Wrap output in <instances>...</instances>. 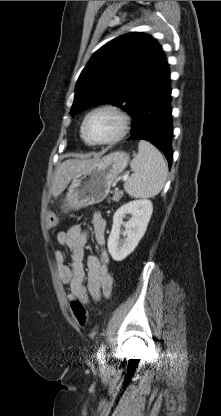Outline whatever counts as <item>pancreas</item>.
<instances>
[{"label": "pancreas", "instance_id": "obj_1", "mask_svg": "<svg viewBox=\"0 0 221 416\" xmlns=\"http://www.w3.org/2000/svg\"><path fill=\"white\" fill-rule=\"evenodd\" d=\"M122 196H123V192H121V191H117V192H115V194L113 195V197H112V201H114V202H119V201H120V199L122 198ZM108 202L110 203V198L108 199Z\"/></svg>", "mask_w": 221, "mask_h": 416}]
</instances>
